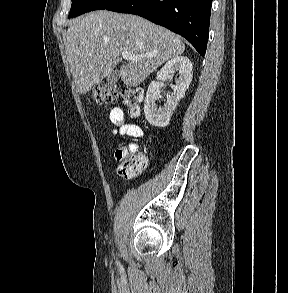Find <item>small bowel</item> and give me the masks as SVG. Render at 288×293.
<instances>
[{
  "label": "small bowel",
  "mask_w": 288,
  "mask_h": 293,
  "mask_svg": "<svg viewBox=\"0 0 288 293\" xmlns=\"http://www.w3.org/2000/svg\"><path fill=\"white\" fill-rule=\"evenodd\" d=\"M110 120L119 126L117 129L111 130V134L113 135L119 134L132 138H141L144 135L142 129L138 125L126 122L124 113L119 107H115L110 111ZM130 149L136 152L137 146L132 144L130 145Z\"/></svg>",
  "instance_id": "small-bowel-1"
}]
</instances>
